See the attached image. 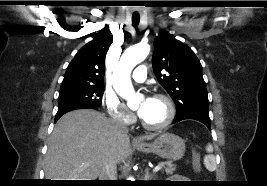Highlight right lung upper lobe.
Here are the masks:
<instances>
[{"mask_svg":"<svg viewBox=\"0 0 267 186\" xmlns=\"http://www.w3.org/2000/svg\"><path fill=\"white\" fill-rule=\"evenodd\" d=\"M112 42L113 36L106 29L83 46L68 65L61 86H104L105 56Z\"/></svg>","mask_w":267,"mask_h":186,"instance_id":"1","label":"right lung upper lobe"}]
</instances>
